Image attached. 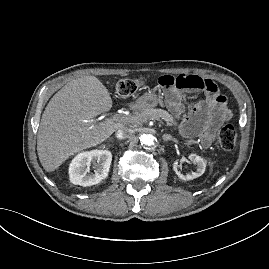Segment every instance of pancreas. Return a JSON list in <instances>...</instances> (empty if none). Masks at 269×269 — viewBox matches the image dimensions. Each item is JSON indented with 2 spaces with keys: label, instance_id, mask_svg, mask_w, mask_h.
Listing matches in <instances>:
<instances>
[{
  "label": "pancreas",
  "instance_id": "pancreas-1",
  "mask_svg": "<svg viewBox=\"0 0 269 269\" xmlns=\"http://www.w3.org/2000/svg\"><path fill=\"white\" fill-rule=\"evenodd\" d=\"M137 124L147 121L148 119H156L158 121L164 120L167 126L174 127L177 125L175 118L169 114L167 111L158 109V108H150L142 110L138 112L135 116Z\"/></svg>",
  "mask_w": 269,
  "mask_h": 269
}]
</instances>
